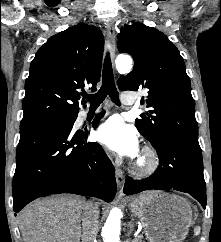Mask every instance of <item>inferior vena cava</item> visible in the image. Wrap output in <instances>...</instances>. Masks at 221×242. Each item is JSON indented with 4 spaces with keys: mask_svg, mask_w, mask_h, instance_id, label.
Masks as SVG:
<instances>
[{
    "mask_svg": "<svg viewBox=\"0 0 221 242\" xmlns=\"http://www.w3.org/2000/svg\"><path fill=\"white\" fill-rule=\"evenodd\" d=\"M98 206L92 202H86L82 213V242H94L98 233Z\"/></svg>",
    "mask_w": 221,
    "mask_h": 242,
    "instance_id": "inferior-vena-cava-1",
    "label": "inferior vena cava"
}]
</instances>
